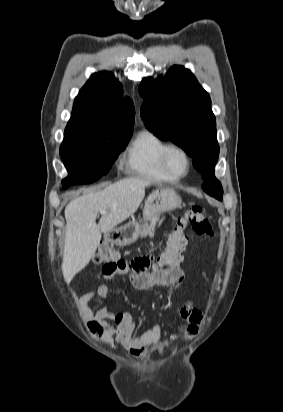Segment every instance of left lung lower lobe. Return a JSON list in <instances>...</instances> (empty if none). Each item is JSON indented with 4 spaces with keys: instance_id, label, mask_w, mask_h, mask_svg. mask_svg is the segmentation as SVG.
I'll use <instances>...</instances> for the list:
<instances>
[{
    "instance_id": "left-lung-lower-lobe-1",
    "label": "left lung lower lobe",
    "mask_w": 283,
    "mask_h": 412,
    "mask_svg": "<svg viewBox=\"0 0 283 412\" xmlns=\"http://www.w3.org/2000/svg\"><path fill=\"white\" fill-rule=\"evenodd\" d=\"M214 179H216L215 176H214ZM216 180H217V179H216ZM203 190H204V186H203Z\"/></svg>"
}]
</instances>
